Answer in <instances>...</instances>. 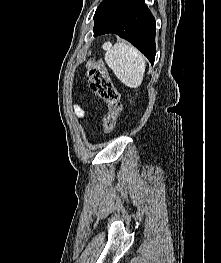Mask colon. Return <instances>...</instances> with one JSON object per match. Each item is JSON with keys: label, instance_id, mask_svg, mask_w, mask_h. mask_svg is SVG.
<instances>
[{"label": "colon", "instance_id": "1", "mask_svg": "<svg viewBox=\"0 0 221 263\" xmlns=\"http://www.w3.org/2000/svg\"><path fill=\"white\" fill-rule=\"evenodd\" d=\"M87 72L92 91L107 107V112L104 117V131L109 134L116 127L122 111L120 93L110 78L105 66L100 61H90Z\"/></svg>", "mask_w": 221, "mask_h": 263}]
</instances>
